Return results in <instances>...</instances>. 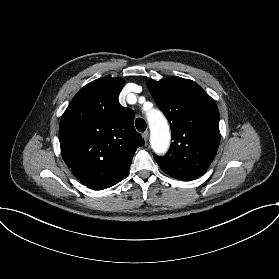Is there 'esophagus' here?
<instances>
[{"label": "esophagus", "mask_w": 279, "mask_h": 279, "mask_svg": "<svg viewBox=\"0 0 279 279\" xmlns=\"http://www.w3.org/2000/svg\"><path fill=\"white\" fill-rule=\"evenodd\" d=\"M142 137L144 138L145 142L148 141V138H149V132L148 131H145L143 134H142Z\"/></svg>", "instance_id": "34e87169"}]
</instances>
